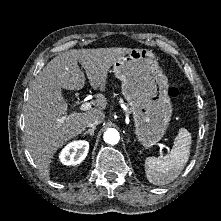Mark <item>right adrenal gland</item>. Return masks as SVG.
I'll return each mask as SVG.
<instances>
[{
    "label": "right adrenal gland",
    "instance_id": "2a0ac1e0",
    "mask_svg": "<svg viewBox=\"0 0 221 221\" xmlns=\"http://www.w3.org/2000/svg\"><path fill=\"white\" fill-rule=\"evenodd\" d=\"M95 129H96V128L93 127V128H91V129L85 131V132L83 133V135L89 134V135H91V136H94V131H95Z\"/></svg>",
    "mask_w": 221,
    "mask_h": 221
}]
</instances>
